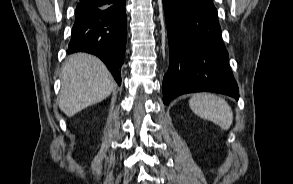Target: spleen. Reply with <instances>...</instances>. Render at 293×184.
<instances>
[{"instance_id":"3e777b00","label":"spleen","mask_w":293,"mask_h":184,"mask_svg":"<svg viewBox=\"0 0 293 184\" xmlns=\"http://www.w3.org/2000/svg\"><path fill=\"white\" fill-rule=\"evenodd\" d=\"M191 110L199 117L212 121L228 130L233 122V112L221 97L211 93H197L189 100Z\"/></svg>"}]
</instances>
